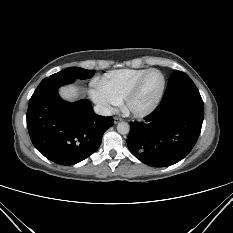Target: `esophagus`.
Wrapping results in <instances>:
<instances>
[{
  "instance_id": "esophagus-1",
  "label": "esophagus",
  "mask_w": 233,
  "mask_h": 233,
  "mask_svg": "<svg viewBox=\"0 0 233 233\" xmlns=\"http://www.w3.org/2000/svg\"><path fill=\"white\" fill-rule=\"evenodd\" d=\"M122 119L120 117H114V123L117 124L121 121Z\"/></svg>"
}]
</instances>
